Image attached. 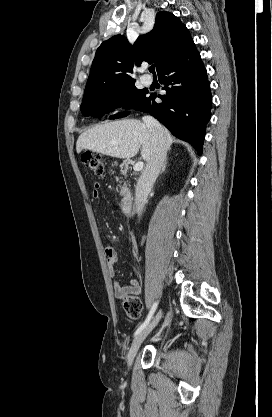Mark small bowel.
Listing matches in <instances>:
<instances>
[{"instance_id": "small-bowel-1", "label": "small bowel", "mask_w": 272, "mask_h": 417, "mask_svg": "<svg viewBox=\"0 0 272 417\" xmlns=\"http://www.w3.org/2000/svg\"><path fill=\"white\" fill-rule=\"evenodd\" d=\"M99 190L100 184L94 183L93 191H92V198L94 200L99 199ZM105 254L107 256V263L109 267V274L111 277L115 276V266L118 263V253L116 249L111 246L107 245L105 247ZM113 293L115 298L119 300H124L127 296H138L141 293V286L138 280L131 279L129 280L128 284L122 286L118 281H114L113 283Z\"/></svg>"}]
</instances>
